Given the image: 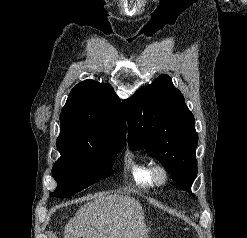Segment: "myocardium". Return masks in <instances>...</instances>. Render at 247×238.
<instances>
[{
	"label": "myocardium",
	"mask_w": 247,
	"mask_h": 238,
	"mask_svg": "<svg viewBox=\"0 0 247 238\" xmlns=\"http://www.w3.org/2000/svg\"><path fill=\"white\" fill-rule=\"evenodd\" d=\"M150 178L153 184L157 186L164 185L169 178V171L167 167L160 163L156 162L150 166Z\"/></svg>",
	"instance_id": "myocardium-1"
}]
</instances>
